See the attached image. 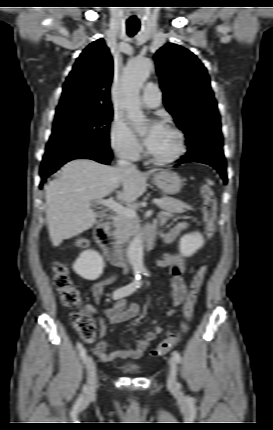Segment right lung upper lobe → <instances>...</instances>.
<instances>
[{
  "instance_id": "right-lung-upper-lobe-1",
  "label": "right lung upper lobe",
  "mask_w": 273,
  "mask_h": 430,
  "mask_svg": "<svg viewBox=\"0 0 273 430\" xmlns=\"http://www.w3.org/2000/svg\"><path fill=\"white\" fill-rule=\"evenodd\" d=\"M112 78L113 61L101 38L88 45L77 58L63 85L57 109L72 106L112 109Z\"/></svg>"
}]
</instances>
